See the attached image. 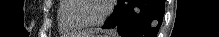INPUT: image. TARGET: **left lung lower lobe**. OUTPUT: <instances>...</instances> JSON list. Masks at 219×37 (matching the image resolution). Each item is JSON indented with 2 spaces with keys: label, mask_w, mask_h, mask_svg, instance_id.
Wrapping results in <instances>:
<instances>
[{
  "label": "left lung lower lobe",
  "mask_w": 219,
  "mask_h": 37,
  "mask_svg": "<svg viewBox=\"0 0 219 37\" xmlns=\"http://www.w3.org/2000/svg\"><path fill=\"white\" fill-rule=\"evenodd\" d=\"M164 14V0H118L102 28L116 27L122 37H156Z\"/></svg>",
  "instance_id": "1"
}]
</instances>
